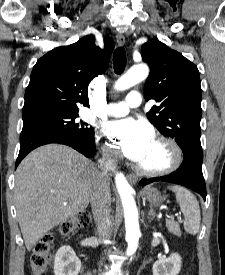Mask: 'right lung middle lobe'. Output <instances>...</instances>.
I'll return each instance as SVG.
<instances>
[{
    "instance_id": "dd1d6c3e",
    "label": "right lung middle lobe",
    "mask_w": 225,
    "mask_h": 275,
    "mask_svg": "<svg viewBox=\"0 0 225 275\" xmlns=\"http://www.w3.org/2000/svg\"><path fill=\"white\" fill-rule=\"evenodd\" d=\"M78 111H47L23 116V129L41 127L68 133L72 136L94 138L93 128L78 120Z\"/></svg>"
}]
</instances>
